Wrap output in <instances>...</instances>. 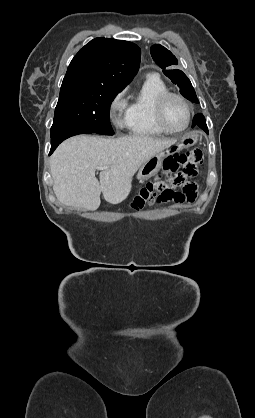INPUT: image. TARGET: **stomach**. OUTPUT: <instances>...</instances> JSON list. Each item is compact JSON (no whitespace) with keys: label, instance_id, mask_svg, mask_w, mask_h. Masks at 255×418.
<instances>
[{"label":"stomach","instance_id":"obj_1","mask_svg":"<svg viewBox=\"0 0 255 418\" xmlns=\"http://www.w3.org/2000/svg\"><path fill=\"white\" fill-rule=\"evenodd\" d=\"M197 140H198V136L195 133L191 134L189 136L182 138L172 148L167 149L153 156L139 168V171L137 173V178L140 181H145L151 178L160 170L163 160L166 156L173 154L185 147L194 145L197 142Z\"/></svg>","mask_w":255,"mask_h":418}]
</instances>
